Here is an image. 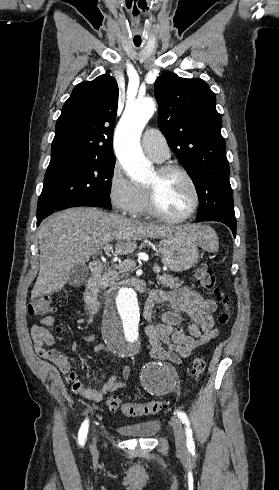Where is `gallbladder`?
I'll return each mask as SVG.
<instances>
[{
    "label": "gallbladder",
    "instance_id": "bac80fb5",
    "mask_svg": "<svg viewBox=\"0 0 279 490\" xmlns=\"http://www.w3.org/2000/svg\"><path fill=\"white\" fill-rule=\"evenodd\" d=\"M88 272L87 266H75L68 276L67 284H69V286H74V288L84 286L87 282Z\"/></svg>",
    "mask_w": 279,
    "mask_h": 490
}]
</instances>
